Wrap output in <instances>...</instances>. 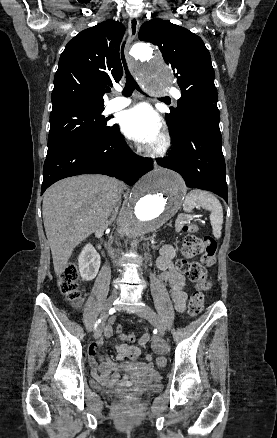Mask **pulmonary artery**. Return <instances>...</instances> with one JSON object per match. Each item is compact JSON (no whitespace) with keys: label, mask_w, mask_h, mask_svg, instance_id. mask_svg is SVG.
<instances>
[{"label":"pulmonary artery","mask_w":277,"mask_h":438,"mask_svg":"<svg viewBox=\"0 0 277 438\" xmlns=\"http://www.w3.org/2000/svg\"><path fill=\"white\" fill-rule=\"evenodd\" d=\"M124 92H125V94L129 95V94H131L132 91H131V89L127 88V89H125ZM131 102L132 101L130 99H125V98L114 99L111 102V111L116 112L118 110L124 109V108L128 107L131 104Z\"/></svg>","instance_id":"1"}]
</instances>
